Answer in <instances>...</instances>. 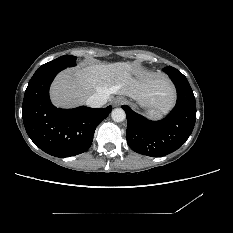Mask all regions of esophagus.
I'll use <instances>...</instances> for the list:
<instances>
[{
  "label": "esophagus",
  "mask_w": 233,
  "mask_h": 233,
  "mask_svg": "<svg viewBox=\"0 0 233 233\" xmlns=\"http://www.w3.org/2000/svg\"><path fill=\"white\" fill-rule=\"evenodd\" d=\"M124 103H125V100H124L123 98L117 97V98H115L114 101H113V106H114V107H118V106H120V105H122V104H124Z\"/></svg>",
  "instance_id": "obj_1"
}]
</instances>
